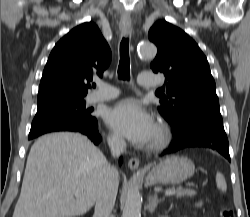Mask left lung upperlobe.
Segmentation results:
<instances>
[{
	"label": "left lung upper lobe",
	"mask_w": 250,
	"mask_h": 217,
	"mask_svg": "<svg viewBox=\"0 0 250 217\" xmlns=\"http://www.w3.org/2000/svg\"><path fill=\"white\" fill-rule=\"evenodd\" d=\"M149 39L158 48L151 68L166 76L168 98L163 97L158 110L170 124L187 110L219 105L207 58L189 35L160 20L151 27Z\"/></svg>",
	"instance_id": "5c2ea615"
}]
</instances>
